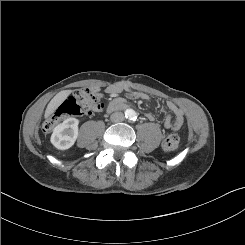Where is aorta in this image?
Returning <instances> with one entry per match:
<instances>
[{
  "label": "aorta",
  "instance_id": "1",
  "mask_svg": "<svg viewBox=\"0 0 245 245\" xmlns=\"http://www.w3.org/2000/svg\"><path fill=\"white\" fill-rule=\"evenodd\" d=\"M126 114L128 117H133L135 112L133 110L129 109V110H127Z\"/></svg>",
  "mask_w": 245,
  "mask_h": 245
}]
</instances>
